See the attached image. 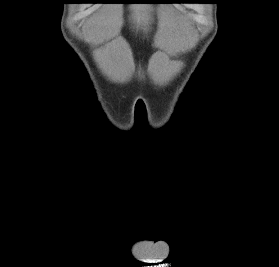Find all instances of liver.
Wrapping results in <instances>:
<instances>
[{"label":"liver","instance_id":"liver-1","mask_svg":"<svg viewBox=\"0 0 279 267\" xmlns=\"http://www.w3.org/2000/svg\"><path fill=\"white\" fill-rule=\"evenodd\" d=\"M131 19L136 28L144 31L148 30L151 12L153 8L149 5H132L129 7ZM118 23L115 12L97 19L92 26L90 37L93 43H101L105 38L113 37L117 34ZM177 24L175 17L170 10L166 13V26L163 33V40L169 50L176 48ZM100 64L103 70L115 80L123 79L126 72L123 50L116 41L109 44L106 52L100 55Z\"/></svg>","mask_w":279,"mask_h":267}]
</instances>
